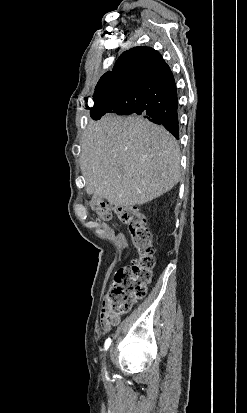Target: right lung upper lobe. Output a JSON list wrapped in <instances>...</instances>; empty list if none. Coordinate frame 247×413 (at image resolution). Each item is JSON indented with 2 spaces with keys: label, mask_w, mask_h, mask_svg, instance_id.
Returning <instances> with one entry per match:
<instances>
[{
  "label": "right lung upper lobe",
  "mask_w": 247,
  "mask_h": 413,
  "mask_svg": "<svg viewBox=\"0 0 247 413\" xmlns=\"http://www.w3.org/2000/svg\"><path fill=\"white\" fill-rule=\"evenodd\" d=\"M167 67L162 56L150 47H134L121 54L112 71L106 72L101 82H126L135 72H153Z\"/></svg>",
  "instance_id": "cb5924a9"
}]
</instances>
